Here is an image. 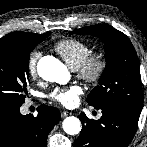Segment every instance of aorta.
I'll use <instances>...</instances> for the list:
<instances>
[{
  "label": "aorta",
  "instance_id": "obj_1",
  "mask_svg": "<svg viewBox=\"0 0 147 147\" xmlns=\"http://www.w3.org/2000/svg\"><path fill=\"white\" fill-rule=\"evenodd\" d=\"M39 76L49 82L67 84L70 73L67 67L52 56H44L37 63ZM63 130L69 135H76L81 131V122L74 116L66 117L62 123Z\"/></svg>",
  "mask_w": 147,
  "mask_h": 147
}]
</instances>
